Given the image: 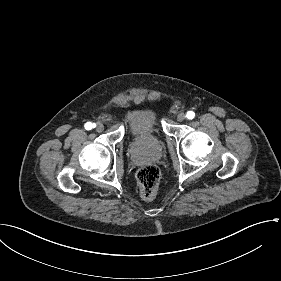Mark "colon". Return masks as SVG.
<instances>
[{"label":"colon","mask_w":281,"mask_h":281,"mask_svg":"<svg viewBox=\"0 0 281 281\" xmlns=\"http://www.w3.org/2000/svg\"><path fill=\"white\" fill-rule=\"evenodd\" d=\"M137 179L141 186L142 196L150 200L156 195L160 180V171L154 164H148L139 169Z\"/></svg>","instance_id":"1"}]
</instances>
